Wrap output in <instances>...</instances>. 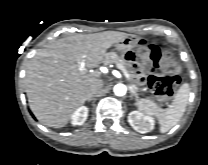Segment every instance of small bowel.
Instances as JSON below:
<instances>
[{"label":"small bowel","mask_w":208,"mask_h":165,"mask_svg":"<svg viewBox=\"0 0 208 165\" xmlns=\"http://www.w3.org/2000/svg\"><path fill=\"white\" fill-rule=\"evenodd\" d=\"M125 61L130 62V70L134 77H136L138 84L146 88L150 85L151 80L146 70L143 68L142 59L136 50H129L124 53Z\"/></svg>","instance_id":"1"}]
</instances>
